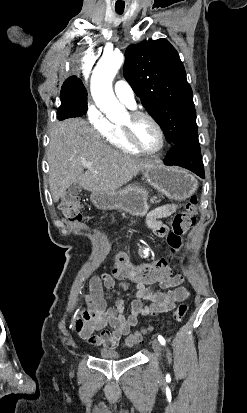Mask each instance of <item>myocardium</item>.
<instances>
[{"mask_svg":"<svg viewBox=\"0 0 247 413\" xmlns=\"http://www.w3.org/2000/svg\"><path fill=\"white\" fill-rule=\"evenodd\" d=\"M141 119H146L149 121L160 133L161 136V145L155 149V150H148L145 147H143L135 132V126H126L123 128L124 135L127 139V141L138 151H140L142 154H145L147 156H160L164 150L166 149L167 146V135L163 127L160 125V123L149 113L144 112V111H134L130 115V122L133 125H136L137 122Z\"/></svg>","mask_w":247,"mask_h":413,"instance_id":"1","label":"myocardium"}]
</instances>
